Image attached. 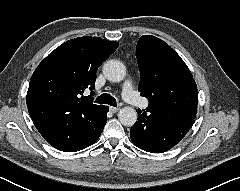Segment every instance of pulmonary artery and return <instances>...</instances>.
<instances>
[{
    "label": "pulmonary artery",
    "mask_w": 240,
    "mask_h": 191,
    "mask_svg": "<svg viewBox=\"0 0 240 191\" xmlns=\"http://www.w3.org/2000/svg\"><path fill=\"white\" fill-rule=\"evenodd\" d=\"M123 98L134 106L144 105L143 100L135 92L132 82L127 80L122 88Z\"/></svg>",
    "instance_id": "obj_1"
}]
</instances>
